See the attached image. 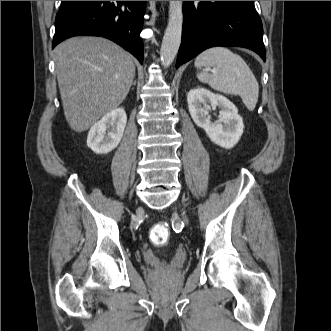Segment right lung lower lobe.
I'll return each instance as SVG.
<instances>
[{
  "label": "right lung lower lobe",
  "mask_w": 331,
  "mask_h": 331,
  "mask_svg": "<svg viewBox=\"0 0 331 331\" xmlns=\"http://www.w3.org/2000/svg\"><path fill=\"white\" fill-rule=\"evenodd\" d=\"M146 1H62L56 16L54 48L79 35L108 38L143 62L142 30Z\"/></svg>",
  "instance_id": "right-lung-lower-lobe-1"
}]
</instances>
